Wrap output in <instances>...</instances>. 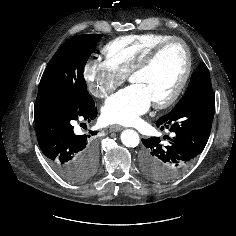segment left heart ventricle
Here are the masks:
<instances>
[{
  "mask_svg": "<svg viewBox=\"0 0 236 236\" xmlns=\"http://www.w3.org/2000/svg\"><path fill=\"white\" fill-rule=\"evenodd\" d=\"M185 68V55L178 43L166 47L145 71L134 75L130 82L143 86L152 102L166 98L179 82Z\"/></svg>",
  "mask_w": 236,
  "mask_h": 236,
  "instance_id": "1",
  "label": "left heart ventricle"
}]
</instances>
